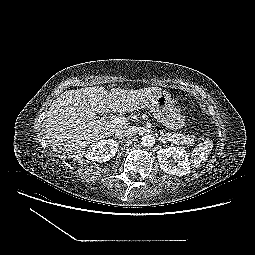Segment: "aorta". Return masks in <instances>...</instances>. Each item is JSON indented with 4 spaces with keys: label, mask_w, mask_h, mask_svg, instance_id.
Returning <instances> with one entry per match:
<instances>
[{
    "label": "aorta",
    "mask_w": 255,
    "mask_h": 255,
    "mask_svg": "<svg viewBox=\"0 0 255 255\" xmlns=\"http://www.w3.org/2000/svg\"><path fill=\"white\" fill-rule=\"evenodd\" d=\"M155 137L151 134H145L141 138V144L145 147H151L155 144Z\"/></svg>",
    "instance_id": "aorta-1"
}]
</instances>
